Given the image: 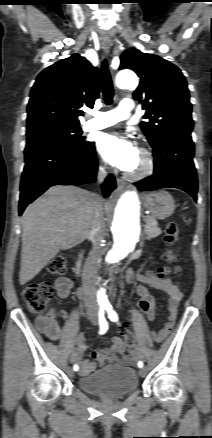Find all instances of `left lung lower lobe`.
I'll return each instance as SVG.
<instances>
[{
  "label": "left lung lower lobe",
  "mask_w": 212,
  "mask_h": 438,
  "mask_svg": "<svg viewBox=\"0 0 212 438\" xmlns=\"http://www.w3.org/2000/svg\"><path fill=\"white\" fill-rule=\"evenodd\" d=\"M154 174L135 183L140 191L178 188L197 200L198 180L191 135L170 136L153 147Z\"/></svg>",
  "instance_id": "0a47b994"
}]
</instances>
